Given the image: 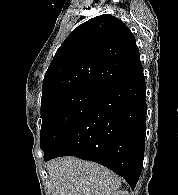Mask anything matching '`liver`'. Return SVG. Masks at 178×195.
<instances>
[{"mask_svg": "<svg viewBox=\"0 0 178 195\" xmlns=\"http://www.w3.org/2000/svg\"><path fill=\"white\" fill-rule=\"evenodd\" d=\"M53 195H111L121 178L107 168L75 157H64L47 165Z\"/></svg>", "mask_w": 178, "mask_h": 195, "instance_id": "6515ba94", "label": "liver"}]
</instances>
